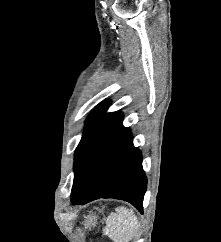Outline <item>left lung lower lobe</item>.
<instances>
[{"label": "left lung lower lobe", "instance_id": "1", "mask_svg": "<svg viewBox=\"0 0 221 242\" xmlns=\"http://www.w3.org/2000/svg\"><path fill=\"white\" fill-rule=\"evenodd\" d=\"M147 178L140 150L129 128L119 122L82 161L74 176L71 202L82 205L102 198L123 199L143 212Z\"/></svg>", "mask_w": 221, "mask_h": 242}]
</instances>
